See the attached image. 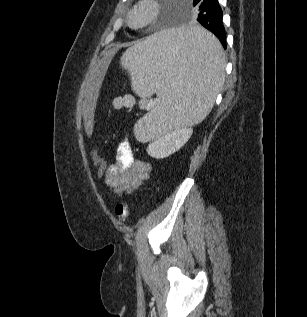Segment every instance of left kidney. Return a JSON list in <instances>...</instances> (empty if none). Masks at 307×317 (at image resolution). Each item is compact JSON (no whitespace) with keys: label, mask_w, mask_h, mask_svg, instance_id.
Wrapping results in <instances>:
<instances>
[{"label":"left kidney","mask_w":307,"mask_h":317,"mask_svg":"<svg viewBox=\"0 0 307 317\" xmlns=\"http://www.w3.org/2000/svg\"><path fill=\"white\" fill-rule=\"evenodd\" d=\"M191 127H177L157 138L147 147V153L153 158H165L178 151L191 137Z\"/></svg>","instance_id":"5707ae66"}]
</instances>
